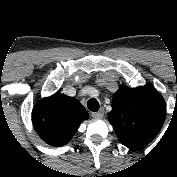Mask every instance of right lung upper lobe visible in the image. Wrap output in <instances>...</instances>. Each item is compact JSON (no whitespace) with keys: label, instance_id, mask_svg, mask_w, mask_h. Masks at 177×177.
<instances>
[{"label":"right lung upper lobe","instance_id":"obj_1","mask_svg":"<svg viewBox=\"0 0 177 177\" xmlns=\"http://www.w3.org/2000/svg\"><path fill=\"white\" fill-rule=\"evenodd\" d=\"M85 117L84 109L76 102L56 98L47 117H38L41 133L55 144L64 143Z\"/></svg>","mask_w":177,"mask_h":177}]
</instances>
